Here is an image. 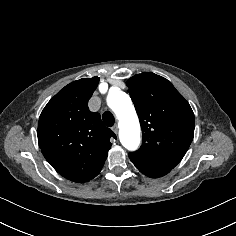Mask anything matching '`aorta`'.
<instances>
[{
  "instance_id": "aorta-1",
  "label": "aorta",
  "mask_w": 236,
  "mask_h": 236,
  "mask_svg": "<svg viewBox=\"0 0 236 236\" xmlns=\"http://www.w3.org/2000/svg\"><path fill=\"white\" fill-rule=\"evenodd\" d=\"M108 106L119 120L121 144L134 151L140 144V124L131 98L123 91H114L107 96Z\"/></svg>"
}]
</instances>
